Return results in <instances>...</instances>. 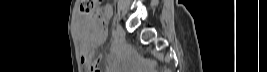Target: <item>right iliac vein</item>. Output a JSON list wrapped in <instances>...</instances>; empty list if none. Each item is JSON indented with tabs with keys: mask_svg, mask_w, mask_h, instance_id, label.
I'll return each instance as SVG.
<instances>
[{
	"mask_svg": "<svg viewBox=\"0 0 267 72\" xmlns=\"http://www.w3.org/2000/svg\"><path fill=\"white\" fill-rule=\"evenodd\" d=\"M115 32H116L117 36H119V37H123V35H124V31L119 24H116Z\"/></svg>",
	"mask_w": 267,
	"mask_h": 72,
	"instance_id": "1",
	"label": "right iliac vein"
}]
</instances>
